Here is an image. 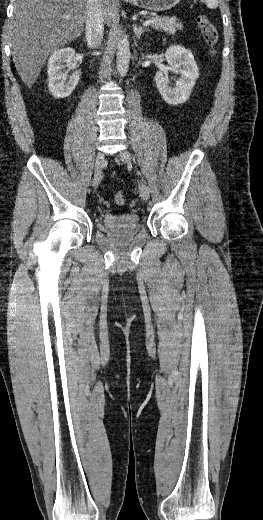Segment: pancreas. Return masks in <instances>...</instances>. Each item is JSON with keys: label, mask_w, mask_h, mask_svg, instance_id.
<instances>
[{"label": "pancreas", "mask_w": 263, "mask_h": 520, "mask_svg": "<svg viewBox=\"0 0 263 520\" xmlns=\"http://www.w3.org/2000/svg\"><path fill=\"white\" fill-rule=\"evenodd\" d=\"M153 20L154 23L150 24L152 28L156 30H162L170 34H174L177 30H182L183 25L176 17H146Z\"/></svg>", "instance_id": "1"}]
</instances>
